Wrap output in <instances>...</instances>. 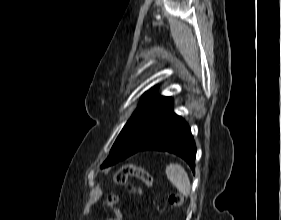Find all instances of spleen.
Segmentation results:
<instances>
[{"instance_id":"obj_1","label":"spleen","mask_w":281,"mask_h":220,"mask_svg":"<svg viewBox=\"0 0 281 220\" xmlns=\"http://www.w3.org/2000/svg\"><path fill=\"white\" fill-rule=\"evenodd\" d=\"M166 175L169 181L178 189L184 196L191 193V184L186 170L177 163H170L166 167Z\"/></svg>"}]
</instances>
